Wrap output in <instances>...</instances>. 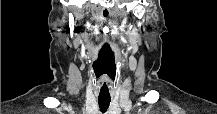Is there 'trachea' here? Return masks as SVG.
<instances>
[{
    "label": "trachea",
    "mask_w": 217,
    "mask_h": 114,
    "mask_svg": "<svg viewBox=\"0 0 217 114\" xmlns=\"http://www.w3.org/2000/svg\"><path fill=\"white\" fill-rule=\"evenodd\" d=\"M110 99L105 98H98L99 108L102 112H106L109 105H110Z\"/></svg>",
    "instance_id": "3493384b"
}]
</instances>
